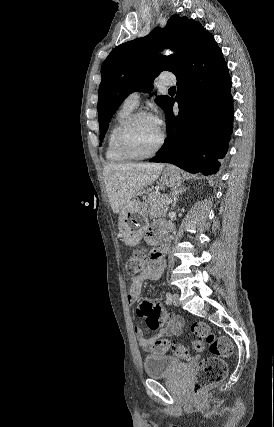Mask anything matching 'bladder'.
<instances>
[{"label":"bladder","mask_w":274,"mask_h":427,"mask_svg":"<svg viewBox=\"0 0 274 427\" xmlns=\"http://www.w3.org/2000/svg\"><path fill=\"white\" fill-rule=\"evenodd\" d=\"M144 371L149 379L174 375L177 369L183 365L175 357L169 354L146 355L143 359Z\"/></svg>","instance_id":"31cf9c89"}]
</instances>
